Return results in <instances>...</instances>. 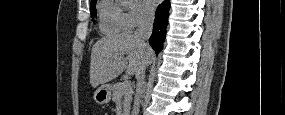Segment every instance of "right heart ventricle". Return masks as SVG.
I'll use <instances>...</instances> for the list:
<instances>
[{"instance_id": "e07e8e85", "label": "right heart ventricle", "mask_w": 285, "mask_h": 115, "mask_svg": "<svg viewBox=\"0 0 285 115\" xmlns=\"http://www.w3.org/2000/svg\"><path fill=\"white\" fill-rule=\"evenodd\" d=\"M125 12L113 1H104L99 8V29L106 36L126 30Z\"/></svg>"}]
</instances>
